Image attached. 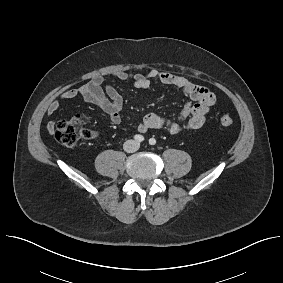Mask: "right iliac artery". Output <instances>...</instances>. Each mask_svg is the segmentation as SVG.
Here are the masks:
<instances>
[{
  "instance_id": "1",
  "label": "right iliac artery",
  "mask_w": 283,
  "mask_h": 283,
  "mask_svg": "<svg viewBox=\"0 0 283 283\" xmlns=\"http://www.w3.org/2000/svg\"><path fill=\"white\" fill-rule=\"evenodd\" d=\"M134 139L137 141V142H142L144 141V137L142 135H135L134 136Z\"/></svg>"
}]
</instances>
